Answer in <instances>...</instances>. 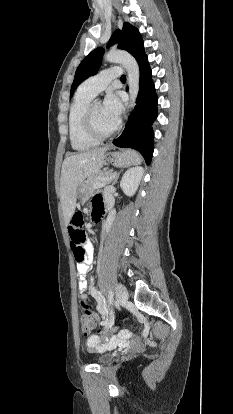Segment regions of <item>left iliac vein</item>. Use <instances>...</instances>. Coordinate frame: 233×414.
<instances>
[{
	"instance_id": "left-iliac-vein-1",
	"label": "left iliac vein",
	"mask_w": 233,
	"mask_h": 414,
	"mask_svg": "<svg viewBox=\"0 0 233 414\" xmlns=\"http://www.w3.org/2000/svg\"><path fill=\"white\" fill-rule=\"evenodd\" d=\"M116 299L120 305H123L128 300V291L122 284L116 285Z\"/></svg>"
}]
</instances>
